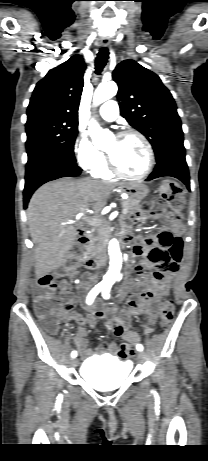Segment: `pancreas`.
Returning <instances> with one entry per match:
<instances>
[{
	"mask_svg": "<svg viewBox=\"0 0 208 461\" xmlns=\"http://www.w3.org/2000/svg\"><path fill=\"white\" fill-rule=\"evenodd\" d=\"M140 200L128 198L126 200H122L121 204L124 209L127 210V213H132L138 209ZM97 235L92 236L90 242L85 246V249L89 252H95L99 246L102 244V240L106 237L107 233L109 232V228L105 226L97 225Z\"/></svg>",
	"mask_w": 208,
	"mask_h": 461,
	"instance_id": "cf45deb5",
	"label": "pancreas"
}]
</instances>
